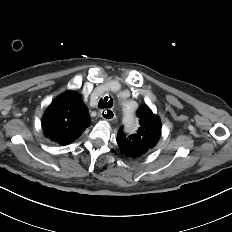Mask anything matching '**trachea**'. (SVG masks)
Segmentation results:
<instances>
[{
	"label": "trachea",
	"mask_w": 232,
	"mask_h": 232,
	"mask_svg": "<svg viewBox=\"0 0 232 232\" xmlns=\"http://www.w3.org/2000/svg\"><path fill=\"white\" fill-rule=\"evenodd\" d=\"M99 108H111L113 106V100L110 97L105 96L104 98L100 99L98 103Z\"/></svg>",
	"instance_id": "obj_1"
}]
</instances>
